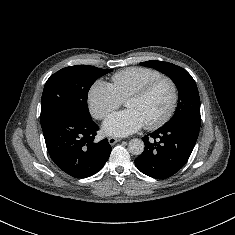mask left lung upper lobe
I'll return each mask as SVG.
<instances>
[{
    "mask_svg": "<svg viewBox=\"0 0 235 235\" xmlns=\"http://www.w3.org/2000/svg\"><path fill=\"white\" fill-rule=\"evenodd\" d=\"M142 66L154 68L169 76L178 88L179 100L175 114L163 126H169L185 120L201 122L200 97L192 76L183 68L163 61H146Z\"/></svg>",
    "mask_w": 235,
    "mask_h": 235,
    "instance_id": "5c2ea615",
    "label": "left lung upper lobe"
}]
</instances>
